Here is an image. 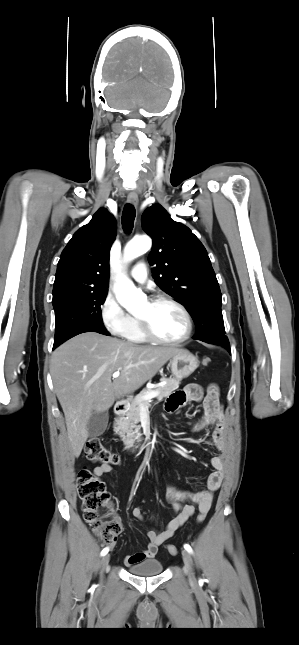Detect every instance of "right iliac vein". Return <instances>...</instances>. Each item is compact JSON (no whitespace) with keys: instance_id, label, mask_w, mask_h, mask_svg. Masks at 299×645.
I'll return each instance as SVG.
<instances>
[{"instance_id":"1","label":"right iliac vein","mask_w":299,"mask_h":645,"mask_svg":"<svg viewBox=\"0 0 299 645\" xmlns=\"http://www.w3.org/2000/svg\"><path fill=\"white\" fill-rule=\"evenodd\" d=\"M109 561H110V555L103 556V558L101 560V576L103 575V572H104L106 566L108 565Z\"/></svg>"}]
</instances>
